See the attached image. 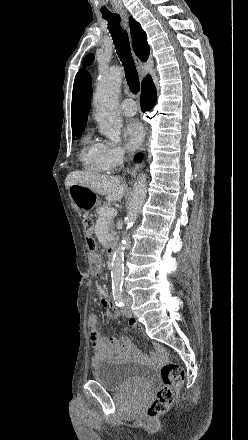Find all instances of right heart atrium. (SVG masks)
<instances>
[{
  "label": "right heart atrium",
  "instance_id": "right-heart-atrium-1",
  "mask_svg": "<svg viewBox=\"0 0 248 440\" xmlns=\"http://www.w3.org/2000/svg\"><path fill=\"white\" fill-rule=\"evenodd\" d=\"M101 147L103 160L110 170L121 166L128 154L127 148L123 145L101 143Z\"/></svg>",
  "mask_w": 248,
  "mask_h": 440
}]
</instances>
